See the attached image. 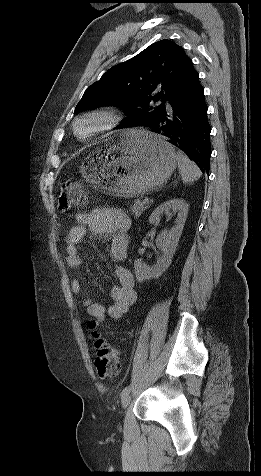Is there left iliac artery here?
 Returning a JSON list of instances; mask_svg holds the SVG:
<instances>
[{
  "label": "left iliac artery",
  "instance_id": "left-iliac-artery-1",
  "mask_svg": "<svg viewBox=\"0 0 261 476\" xmlns=\"http://www.w3.org/2000/svg\"><path fill=\"white\" fill-rule=\"evenodd\" d=\"M129 391H130V386H126V387L122 390L121 396L127 394Z\"/></svg>",
  "mask_w": 261,
  "mask_h": 476
}]
</instances>
